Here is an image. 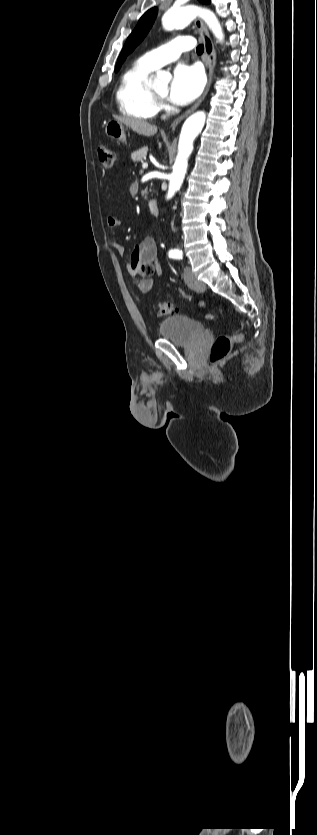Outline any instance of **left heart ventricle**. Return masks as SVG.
I'll list each match as a JSON object with an SVG mask.
<instances>
[{
	"instance_id": "obj_1",
	"label": "left heart ventricle",
	"mask_w": 317,
	"mask_h": 835,
	"mask_svg": "<svg viewBox=\"0 0 317 835\" xmlns=\"http://www.w3.org/2000/svg\"><path fill=\"white\" fill-rule=\"evenodd\" d=\"M154 91H156L158 94H160L162 96H166L167 92H168V84L167 83L160 84V85H158L154 88Z\"/></svg>"
}]
</instances>
